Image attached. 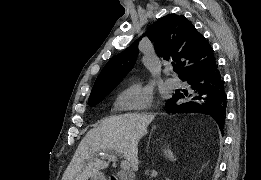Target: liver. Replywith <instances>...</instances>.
<instances>
[{
	"mask_svg": "<svg viewBox=\"0 0 261 180\" xmlns=\"http://www.w3.org/2000/svg\"><path fill=\"white\" fill-rule=\"evenodd\" d=\"M153 118L146 114H121L103 120L98 128L90 130L81 140L68 168V180H89L99 170L108 168V164L98 158L106 156L111 150L119 152L136 172L138 144Z\"/></svg>",
	"mask_w": 261,
	"mask_h": 180,
	"instance_id": "obj_1",
	"label": "liver"
}]
</instances>
